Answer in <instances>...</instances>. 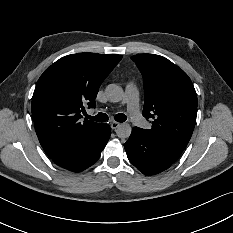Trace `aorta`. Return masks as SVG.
Returning <instances> with one entry per match:
<instances>
[{"label": "aorta", "mask_w": 233, "mask_h": 233, "mask_svg": "<svg viewBox=\"0 0 233 233\" xmlns=\"http://www.w3.org/2000/svg\"><path fill=\"white\" fill-rule=\"evenodd\" d=\"M105 94L110 102H119L123 96V89L116 84H109L105 89ZM120 138H128L131 135V126L128 123H121L116 130Z\"/></svg>", "instance_id": "obj_1"}]
</instances>
